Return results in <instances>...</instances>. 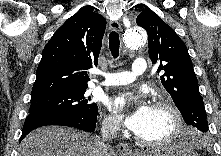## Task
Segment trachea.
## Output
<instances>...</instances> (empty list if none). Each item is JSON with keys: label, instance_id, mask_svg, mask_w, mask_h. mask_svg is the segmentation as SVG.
<instances>
[{"label": "trachea", "instance_id": "trachea-1", "mask_svg": "<svg viewBox=\"0 0 221 156\" xmlns=\"http://www.w3.org/2000/svg\"><path fill=\"white\" fill-rule=\"evenodd\" d=\"M109 48H110L112 56L114 58H118L119 48H120V40H119V35L116 31H112L109 34Z\"/></svg>", "mask_w": 221, "mask_h": 156}]
</instances>
